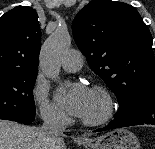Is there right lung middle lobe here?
<instances>
[{
    "label": "right lung middle lobe",
    "instance_id": "obj_1",
    "mask_svg": "<svg viewBox=\"0 0 155 149\" xmlns=\"http://www.w3.org/2000/svg\"><path fill=\"white\" fill-rule=\"evenodd\" d=\"M37 71H0V119L23 123L35 112L33 87Z\"/></svg>",
    "mask_w": 155,
    "mask_h": 149
}]
</instances>
